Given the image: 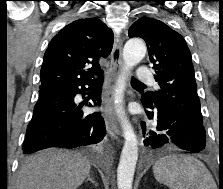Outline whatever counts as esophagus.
Here are the masks:
<instances>
[{"label": "esophagus", "instance_id": "esophagus-1", "mask_svg": "<svg viewBox=\"0 0 223 189\" xmlns=\"http://www.w3.org/2000/svg\"><path fill=\"white\" fill-rule=\"evenodd\" d=\"M122 46L123 42L121 37L116 36L111 53V68L108 73V87L103 99V117L111 136H116L119 134V127L113 110L112 87L117 75L122 70Z\"/></svg>", "mask_w": 223, "mask_h": 189}]
</instances>
